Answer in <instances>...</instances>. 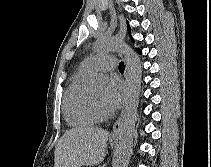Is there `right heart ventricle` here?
Masks as SVG:
<instances>
[{"instance_id": "right-heart-ventricle-1", "label": "right heart ventricle", "mask_w": 211, "mask_h": 167, "mask_svg": "<svg viewBox=\"0 0 211 167\" xmlns=\"http://www.w3.org/2000/svg\"><path fill=\"white\" fill-rule=\"evenodd\" d=\"M91 71L81 66L73 75L65 92L63 100V111L67 122L75 127H88L96 123L88 106V91L85 81Z\"/></svg>"}]
</instances>
